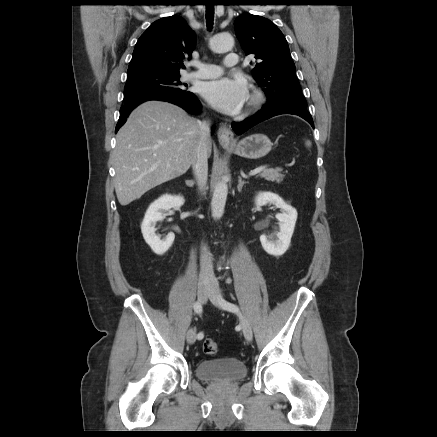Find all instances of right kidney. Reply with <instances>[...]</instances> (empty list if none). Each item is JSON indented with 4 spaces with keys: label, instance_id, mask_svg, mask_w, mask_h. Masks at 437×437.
<instances>
[{
    "label": "right kidney",
    "instance_id": "1",
    "mask_svg": "<svg viewBox=\"0 0 437 437\" xmlns=\"http://www.w3.org/2000/svg\"><path fill=\"white\" fill-rule=\"evenodd\" d=\"M184 202L182 196L166 194L155 200L147 209L141 224V232L145 242L155 254L163 255L171 247L175 238L173 233H169L165 239L161 240L155 233L156 223L164 219L165 211L181 207Z\"/></svg>",
    "mask_w": 437,
    "mask_h": 437
}]
</instances>
